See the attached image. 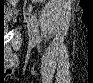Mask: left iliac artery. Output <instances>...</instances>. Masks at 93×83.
<instances>
[{
    "label": "left iliac artery",
    "instance_id": "44dca946",
    "mask_svg": "<svg viewBox=\"0 0 93 83\" xmlns=\"http://www.w3.org/2000/svg\"><path fill=\"white\" fill-rule=\"evenodd\" d=\"M33 28H34V37L36 38V42L39 44L41 41L40 34H39V25L37 21V17L35 14L31 16Z\"/></svg>",
    "mask_w": 93,
    "mask_h": 83
}]
</instances>
